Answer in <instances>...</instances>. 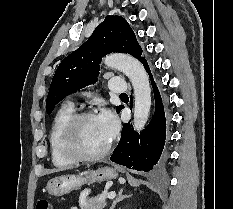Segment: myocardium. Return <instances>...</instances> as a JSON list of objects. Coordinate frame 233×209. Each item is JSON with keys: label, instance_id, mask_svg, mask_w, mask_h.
Returning a JSON list of instances; mask_svg holds the SVG:
<instances>
[{"label": "myocardium", "instance_id": "myocardium-1", "mask_svg": "<svg viewBox=\"0 0 233 209\" xmlns=\"http://www.w3.org/2000/svg\"><path fill=\"white\" fill-rule=\"evenodd\" d=\"M90 117H95V114L91 111H81L75 113L67 122L62 136V150L65 156L74 162H92L99 160L107 155L111 149V140L105 145V147L94 154H83L75 147V137L79 124Z\"/></svg>", "mask_w": 233, "mask_h": 209}]
</instances>
